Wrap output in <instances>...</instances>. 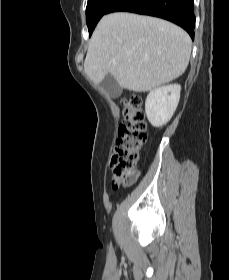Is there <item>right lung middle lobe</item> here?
<instances>
[{"instance_id":"dd1d6c3e","label":"right lung middle lobe","mask_w":229,"mask_h":280,"mask_svg":"<svg viewBox=\"0 0 229 280\" xmlns=\"http://www.w3.org/2000/svg\"><path fill=\"white\" fill-rule=\"evenodd\" d=\"M115 0H88L86 8V22L91 36L100 18L107 13L108 8Z\"/></svg>"}]
</instances>
